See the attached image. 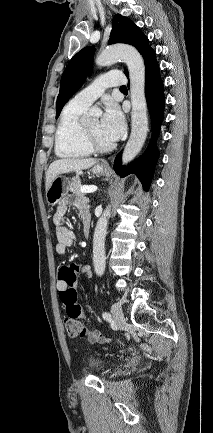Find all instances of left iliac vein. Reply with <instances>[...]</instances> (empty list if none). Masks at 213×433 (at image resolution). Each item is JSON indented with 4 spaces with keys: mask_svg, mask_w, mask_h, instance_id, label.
Instances as JSON below:
<instances>
[{
    "mask_svg": "<svg viewBox=\"0 0 213 433\" xmlns=\"http://www.w3.org/2000/svg\"><path fill=\"white\" fill-rule=\"evenodd\" d=\"M111 313L116 325L119 328H123L125 324V318H124L121 305L118 303L113 304L111 307Z\"/></svg>",
    "mask_w": 213,
    "mask_h": 433,
    "instance_id": "1",
    "label": "left iliac vein"
}]
</instances>
